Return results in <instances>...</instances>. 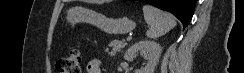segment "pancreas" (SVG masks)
Returning <instances> with one entry per match:
<instances>
[{"mask_svg":"<svg viewBox=\"0 0 244 73\" xmlns=\"http://www.w3.org/2000/svg\"><path fill=\"white\" fill-rule=\"evenodd\" d=\"M125 46H126V43L124 41L114 40L109 43V47L111 48V50H109V48H107L106 52L109 55L114 56V55H116L117 52H120L121 49L124 48Z\"/></svg>","mask_w":244,"mask_h":73,"instance_id":"1","label":"pancreas"}]
</instances>
